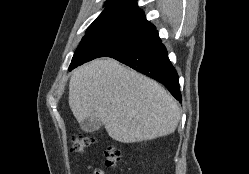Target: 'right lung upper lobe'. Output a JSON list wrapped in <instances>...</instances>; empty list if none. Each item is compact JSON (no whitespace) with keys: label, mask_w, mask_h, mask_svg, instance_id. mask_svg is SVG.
<instances>
[{"label":"right lung upper lobe","mask_w":249,"mask_h":174,"mask_svg":"<svg viewBox=\"0 0 249 174\" xmlns=\"http://www.w3.org/2000/svg\"><path fill=\"white\" fill-rule=\"evenodd\" d=\"M105 6L87 30L97 31L119 25L154 27L138 8L137 0H107Z\"/></svg>","instance_id":"cb5924a9"}]
</instances>
